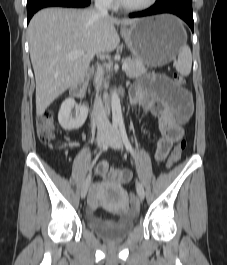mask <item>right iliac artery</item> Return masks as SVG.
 Listing matches in <instances>:
<instances>
[{
  "label": "right iliac artery",
  "mask_w": 227,
  "mask_h": 265,
  "mask_svg": "<svg viewBox=\"0 0 227 265\" xmlns=\"http://www.w3.org/2000/svg\"><path fill=\"white\" fill-rule=\"evenodd\" d=\"M118 128V123H113V128H112V134H114L117 131ZM109 142H107L104 146H103V150H106L108 148ZM102 151L95 157V159L93 160V163L91 165L90 171L92 169V167L94 166V164L96 163V161L98 160L99 156L101 155ZM88 177H91V174L88 175Z\"/></svg>",
  "instance_id": "obj_1"
}]
</instances>
